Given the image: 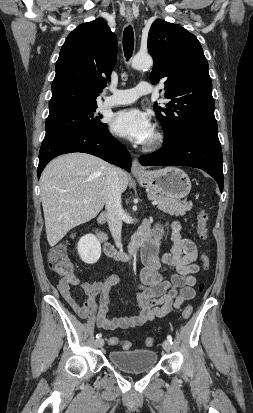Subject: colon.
I'll list each match as a JSON object with an SVG mask.
<instances>
[{
    "label": "colon",
    "instance_id": "colon-1",
    "mask_svg": "<svg viewBox=\"0 0 253 413\" xmlns=\"http://www.w3.org/2000/svg\"><path fill=\"white\" fill-rule=\"evenodd\" d=\"M207 221V213L201 210L197 215V234L201 240H206L207 238ZM48 260L52 271L60 277L67 278L74 273L65 244H58L53 247L48 254ZM201 261L203 269L207 270L210 266L209 256L207 254H202ZM199 290H204V284L199 285ZM192 311V306H186L182 311V317L184 319H189L192 315ZM108 341L112 345H121L123 349H129L131 347V343L129 341H123L114 336L110 337ZM145 344L147 347L153 346L154 339L152 337L146 338Z\"/></svg>",
    "mask_w": 253,
    "mask_h": 413
}]
</instances>
